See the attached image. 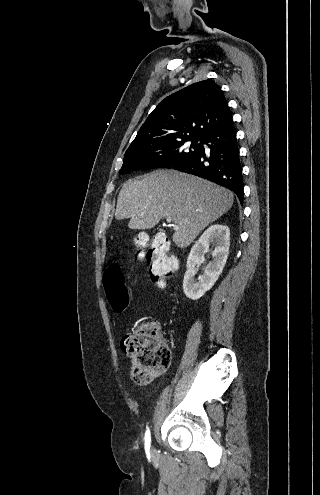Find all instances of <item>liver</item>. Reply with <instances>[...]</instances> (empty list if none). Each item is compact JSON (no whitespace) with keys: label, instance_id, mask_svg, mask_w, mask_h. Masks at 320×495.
Segmentation results:
<instances>
[{"label":"liver","instance_id":"1","mask_svg":"<svg viewBox=\"0 0 320 495\" xmlns=\"http://www.w3.org/2000/svg\"><path fill=\"white\" fill-rule=\"evenodd\" d=\"M234 202L231 191L209 181L174 170H160L125 182L118 195L115 219H130V229L156 226L171 217L173 242L189 246L210 223L227 213Z\"/></svg>","mask_w":320,"mask_h":495}]
</instances>
